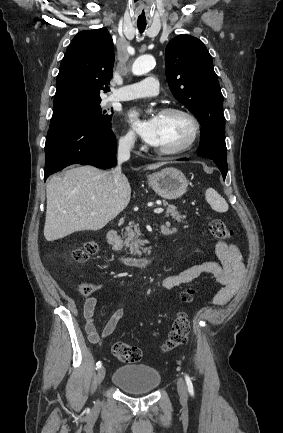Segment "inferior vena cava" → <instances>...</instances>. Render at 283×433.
<instances>
[{"instance_id": "inferior-vena-cava-1", "label": "inferior vena cava", "mask_w": 283, "mask_h": 433, "mask_svg": "<svg viewBox=\"0 0 283 433\" xmlns=\"http://www.w3.org/2000/svg\"><path fill=\"white\" fill-rule=\"evenodd\" d=\"M133 144H134L133 138H122V140H119L118 164L117 166H115L113 170V180L115 182V186H118V182L120 178H122L121 164L122 162H124V160H128V158H130V150Z\"/></svg>"}]
</instances>
